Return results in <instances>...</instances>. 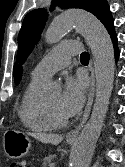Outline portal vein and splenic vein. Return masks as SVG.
Listing matches in <instances>:
<instances>
[{"instance_id":"18ae733b","label":"portal vein and splenic vein","mask_w":125,"mask_h":167,"mask_svg":"<svg viewBox=\"0 0 125 167\" xmlns=\"http://www.w3.org/2000/svg\"><path fill=\"white\" fill-rule=\"evenodd\" d=\"M50 167H55V163H51V164H50Z\"/></svg>"}]
</instances>
